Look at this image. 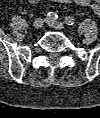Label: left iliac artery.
<instances>
[{
	"instance_id": "left-iliac-artery-1",
	"label": "left iliac artery",
	"mask_w": 100,
	"mask_h": 118,
	"mask_svg": "<svg viewBox=\"0 0 100 118\" xmlns=\"http://www.w3.org/2000/svg\"><path fill=\"white\" fill-rule=\"evenodd\" d=\"M65 23H66L67 25L72 26V25H74L75 20H74V18H73V17L68 16V17H66V18H65Z\"/></svg>"
}]
</instances>
